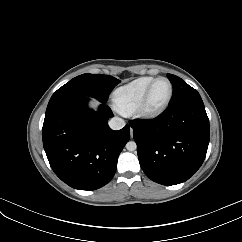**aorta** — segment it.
<instances>
[{"instance_id": "1", "label": "aorta", "mask_w": 242, "mask_h": 242, "mask_svg": "<svg viewBox=\"0 0 242 242\" xmlns=\"http://www.w3.org/2000/svg\"><path fill=\"white\" fill-rule=\"evenodd\" d=\"M126 148L128 151H134L136 150L137 148V145L134 141H129L127 144H126Z\"/></svg>"}]
</instances>
